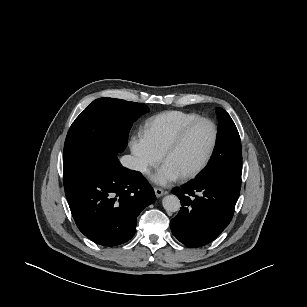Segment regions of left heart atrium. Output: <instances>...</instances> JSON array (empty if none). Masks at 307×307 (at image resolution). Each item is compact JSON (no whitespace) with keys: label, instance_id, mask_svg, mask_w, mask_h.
<instances>
[{"label":"left heart atrium","instance_id":"1","mask_svg":"<svg viewBox=\"0 0 307 307\" xmlns=\"http://www.w3.org/2000/svg\"><path fill=\"white\" fill-rule=\"evenodd\" d=\"M181 174L168 163H164L161 168L152 176V180L160 185L170 184L179 178Z\"/></svg>","mask_w":307,"mask_h":307}]
</instances>
